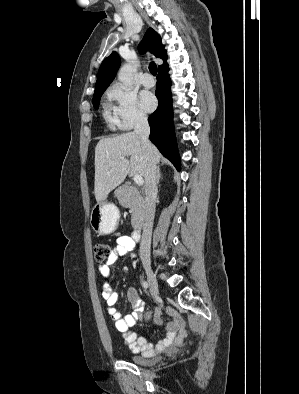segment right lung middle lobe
Here are the masks:
<instances>
[{"label": "right lung middle lobe", "mask_w": 299, "mask_h": 394, "mask_svg": "<svg viewBox=\"0 0 299 394\" xmlns=\"http://www.w3.org/2000/svg\"><path fill=\"white\" fill-rule=\"evenodd\" d=\"M103 92H104V91H103ZM103 92H100V93H98V94H96V95L93 96V106H94L96 109H98L99 102H100V98H101Z\"/></svg>", "instance_id": "right-lung-middle-lobe-1"}]
</instances>
